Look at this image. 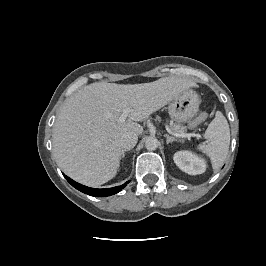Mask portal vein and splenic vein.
<instances>
[{"label":"portal vein and splenic vein","mask_w":266,"mask_h":266,"mask_svg":"<svg viewBox=\"0 0 266 266\" xmlns=\"http://www.w3.org/2000/svg\"><path fill=\"white\" fill-rule=\"evenodd\" d=\"M130 112H131V110H130L129 108L124 109L123 112H122V114L120 115L118 121H119L120 123H124V122L126 121L127 117L129 116V113H130ZM166 130H167L170 134H172V135H174V136H176V137L190 138V137H192V136L195 135V134H193V133H181V134H179V133H175V132H173L169 127H166Z\"/></svg>","instance_id":"obj_1"}]
</instances>
